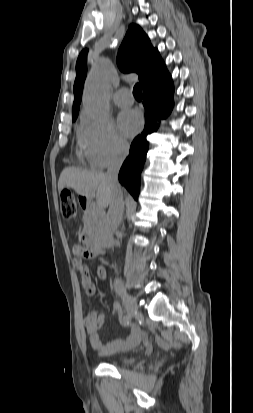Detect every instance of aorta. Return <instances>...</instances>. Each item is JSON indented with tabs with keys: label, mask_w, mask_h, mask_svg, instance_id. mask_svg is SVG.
Returning a JSON list of instances; mask_svg holds the SVG:
<instances>
[{
	"label": "aorta",
	"mask_w": 253,
	"mask_h": 413,
	"mask_svg": "<svg viewBox=\"0 0 253 413\" xmlns=\"http://www.w3.org/2000/svg\"><path fill=\"white\" fill-rule=\"evenodd\" d=\"M110 87L106 74L99 69L92 70L87 76L83 102L87 110L97 120L103 121L109 117Z\"/></svg>",
	"instance_id": "762f6f07"
}]
</instances>
